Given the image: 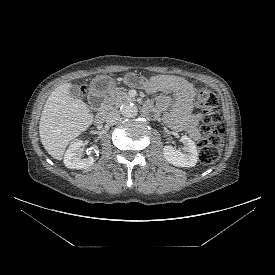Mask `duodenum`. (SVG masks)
<instances>
[{"label":"duodenum","instance_id":"duodenum-1","mask_svg":"<svg viewBox=\"0 0 275 275\" xmlns=\"http://www.w3.org/2000/svg\"><path fill=\"white\" fill-rule=\"evenodd\" d=\"M92 97L96 102L101 103V107L94 118L95 125L99 126L103 124L106 116V107L102 104L104 95L100 89H94L92 91Z\"/></svg>","mask_w":275,"mask_h":275}]
</instances>
